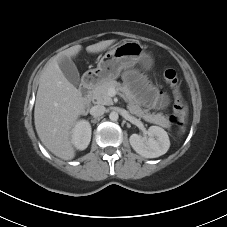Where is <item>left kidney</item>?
Returning a JSON list of instances; mask_svg holds the SVG:
<instances>
[{
	"mask_svg": "<svg viewBox=\"0 0 227 227\" xmlns=\"http://www.w3.org/2000/svg\"><path fill=\"white\" fill-rule=\"evenodd\" d=\"M132 148L145 158H156L165 154L170 147L167 132L158 126L148 129V137L132 134L129 138Z\"/></svg>",
	"mask_w": 227,
	"mask_h": 227,
	"instance_id": "5707ae66",
	"label": "left kidney"
}]
</instances>
